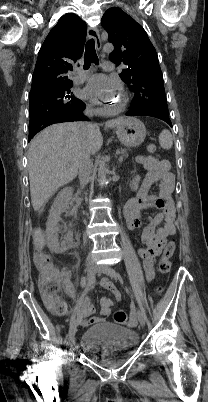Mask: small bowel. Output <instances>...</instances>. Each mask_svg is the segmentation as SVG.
I'll list each match as a JSON object with an SVG mask.
<instances>
[{
	"label": "small bowel",
	"mask_w": 208,
	"mask_h": 402,
	"mask_svg": "<svg viewBox=\"0 0 208 402\" xmlns=\"http://www.w3.org/2000/svg\"><path fill=\"white\" fill-rule=\"evenodd\" d=\"M138 163L147 170V173L142 179L137 172L134 174L131 187L137 190L138 196L126 204L124 214L128 228H143L141 240L144 243V247L140 248L138 253L143 258L146 279L151 281L154 277V259L156 255L163 248L167 237L176 233L175 209L172 199L174 175L170 170L169 162L166 160H160L152 156H141L138 158ZM153 184H157V195L148 196V190ZM151 208L158 209V213L154 217H149L145 214ZM42 256L46 255L43 253ZM61 273L63 287L66 292L71 297L81 301V305L75 308L73 321L79 324L81 330H88L91 324L100 323V316H90L93 308L89 302L83 296L75 293L72 285L73 279L69 276V271L65 269ZM101 286L112 293L116 301L122 300L120 290L109 278H103ZM42 296L44 300L49 301L54 298L59 299L58 295ZM111 306V299H101V317L103 319L108 318Z\"/></svg>",
	"instance_id": "obj_1"
}]
</instances>
